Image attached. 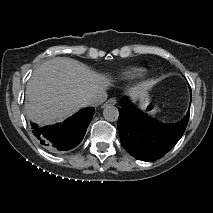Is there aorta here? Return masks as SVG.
I'll list each match as a JSON object with an SVG mask.
<instances>
[{"instance_id": "762f6f07", "label": "aorta", "mask_w": 213, "mask_h": 213, "mask_svg": "<svg viewBox=\"0 0 213 213\" xmlns=\"http://www.w3.org/2000/svg\"><path fill=\"white\" fill-rule=\"evenodd\" d=\"M103 117L109 122L117 121L119 117L118 108L113 105H107L103 110Z\"/></svg>"}]
</instances>
